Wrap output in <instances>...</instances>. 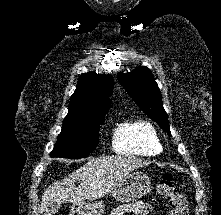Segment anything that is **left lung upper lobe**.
Masks as SVG:
<instances>
[{
    "label": "left lung upper lobe",
    "instance_id": "left-lung-upper-lobe-1",
    "mask_svg": "<svg viewBox=\"0 0 221 215\" xmlns=\"http://www.w3.org/2000/svg\"><path fill=\"white\" fill-rule=\"evenodd\" d=\"M117 78L134 102L171 135L161 92L150 69L145 66L138 67L130 73L118 74Z\"/></svg>",
    "mask_w": 221,
    "mask_h": 215
}]
</instances>
